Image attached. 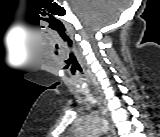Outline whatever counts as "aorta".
Returning a JSON list of instances; mask_svg holds the SVG:
<instances>
[{"mask_svg": "<svg viewBox=\"0 0 160 137\" xmlns=\"http://www.w3.org/2000/svg\"><path fill=\"white\" fill-rule=\"evenodd\" d=\"M106 130V127L103 123H99L98 124V131L99 132H102V131H105Z\"/></svg>", "mask_w": 160, "mask_h": 137, "instance_id": "aorta-1", "label": "aorta"}]
</instances>
